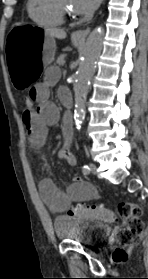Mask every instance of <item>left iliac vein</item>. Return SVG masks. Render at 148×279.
<instances>
[{"mask_svg": "<svg viewBox=\"0 0 148 279\" xmlns=\"http://www.w3.org/2000/svg\"><path fill=\"white\" fill-rule=\"evenodd\" d=\"M90 170L93 174L97 173V167L94 163H90Z\"/></svg>", "mask_w": 148, "mask_h": 279, "instance_id": "obj_1", "label": "left iliac vein"}]
</instances>
